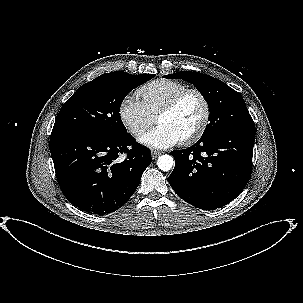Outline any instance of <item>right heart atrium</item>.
<instances>
[{
	"mask_svg": "<svg viewBox=\"0 0 303 303\" xmlns=\"http://www.w3.org/2000/svg\"><path fill=\"white\" fill-rule=\"evenodd\" d=\"M118 111L121 122L134 137L141 136L155 122L143 102L133 95L122 99Z\"/></svg>",
	"mask_w": 303,
	"mask_h": 303,
	"instance_id": "right-heart-atrium-1",
	"label": "right heart atrium"
}]
</instances>
